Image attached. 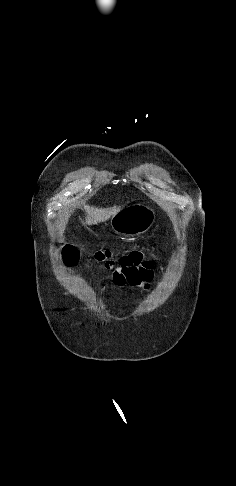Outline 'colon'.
I'll return each mask as SVG.
<instances>
[{
    "label": "colon",
    "mask_w": 236,
    "mask_h": 486,
    "mask_svg": "<svg viewBox=\"0 0 236 486\" xmlns=\"http://www.w3.org/2000/svg\"><path fill=\"white\" fill-rule=\"evenodd\" d=\"M64 260L67 265L72 266L77 262L78 253L73 247H66L63 251ZM96 261L103 263L107 268H112L115 265V259L109 250H100L95 254Z\"/></svg>",
    "instance_id": "obj_1"
}]
</instances>
